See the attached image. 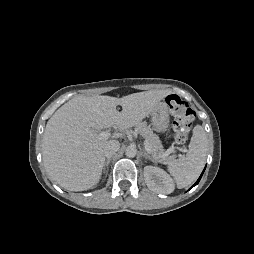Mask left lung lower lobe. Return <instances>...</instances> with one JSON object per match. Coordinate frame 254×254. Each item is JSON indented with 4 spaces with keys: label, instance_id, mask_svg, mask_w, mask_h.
<instances>
[{
    "label": "left lung lower lobe",
    "instance_id": "1",
    "mask_svg": "<svg viewBox=\"0 0 254 254\" xmlns=\"http://www.w3.org/2000/svg\"><path fill=\"white\" fill-rule=\"evenodd\" d=\"M203 173H204V170H203L202 174L200 175L199 179L196 181V183H195L192 187H194L195 185H197V184L199 183V181H200V179H201ZM192 187H191V188H192Z\"/></svg>",
    "mask_w": 254,
    "mask_h": 254
}]
</instances>
